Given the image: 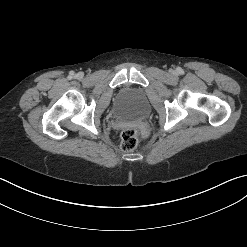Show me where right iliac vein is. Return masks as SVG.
I'll use <instances>...</instances> for the list:
<instances>
[{"instance_id":"63e3f726","label":"right iliac vein","mask_w":247,"mask_h":247,"mask_svg":"<svg viewBox=\"0 0 247 247\" xmlns=\"http://www.w3.org/2000/svg\"><path fill=\"white\" fill-rule=\"evenodd\" d=\"M83 75L80 73V74H78V77H82Z\"/></svg>"}]
</instances>
